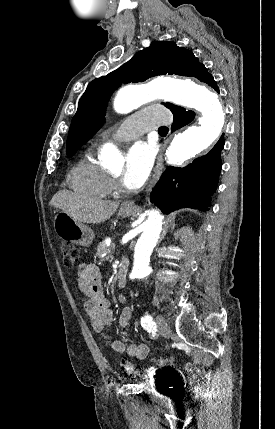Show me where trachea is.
Listing matches in <instances>:
<instances>
[{"label":"trachea","instance_id":"3493384b","mask_svg":"<svg viewBox=\"0 0 275 429\" xmlns=\"http://www.w3.org/2000/svg\"><path fill=\"white\" fill-rule=\"evenodd\" d=\"M158 131H159V132H167V131H168V128H167V127H165V126H163V127H160V128L158 129Z\"/></svg>","mask_w":275,"mask_h":429}]
</instances>
